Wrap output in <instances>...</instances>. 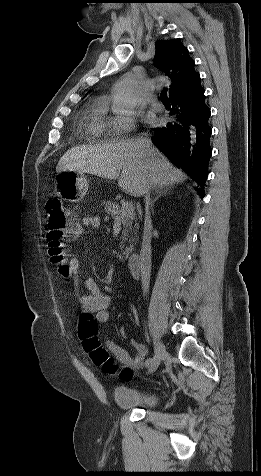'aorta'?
Here are the masks:
<instances>
[{
  "label": "aorta",
  "instance_id": "762f6f07",
  "mask_svg": "<svg viewBox=\"0 0 261 476\" xmlns=\"http://www.w3.org/2000/svg\"><path fill=\"white\" fill-rule=\"evenodd\" d=\"M138 96V86L136 80L125 78L121 80L113 97V107L116 112L129 113L133 111Z\"/></svg>",
  "mask_w": 261,
  "mask_h": 476
}]
</instances>
